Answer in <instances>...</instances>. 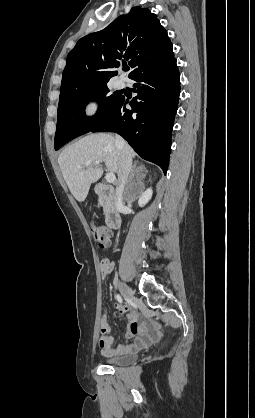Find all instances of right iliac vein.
I'll return each mask as SVG.
<instances>
[{"label": "right iliac vein", "mask_w": 255, "mask_h": 418, "mask_svg": "<svg viewBox=\"0 0 255 418\" xmlns=\"http://www.w3.org/2000/svg\"><path fill=\"white\" fill-rule=\"evenodd\" d=\"M118 288L121 292V294L127 299L132 301L134 299V293L132 291V289L130 287H128L127 285L119 282L118 283Z\"/></svg>", "instance_id": "63e3f726"}]
</instances>
